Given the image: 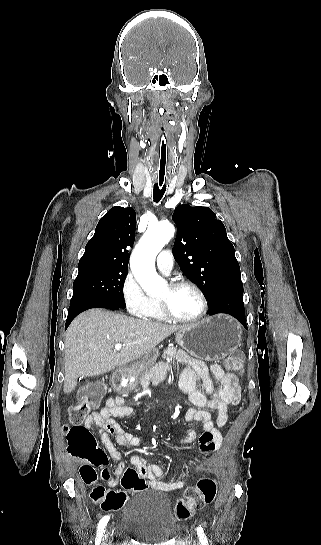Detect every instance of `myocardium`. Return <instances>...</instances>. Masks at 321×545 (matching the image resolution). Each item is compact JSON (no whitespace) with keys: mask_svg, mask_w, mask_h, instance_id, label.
Here are the masks:
<instances>
[{"mask_svg":"<svg viewBox=\"0 0 321 545\" xmlns=\"http://www.w3.org/2000/svg\"><path fill=\"white\" fill-rule=\"evenodd\" d=\"M168 286L173 291H177L183 288H190L194 290L200 298L201 309L199 313L193 318H182L176 315L175 313H173L171 310H169L165 305L159 303L158 307L167 320L175 322V323H180V324H195L203 320V318L206 316L208 312L209 303H208L206 294L197 284L191 281L181 280V281L170 283L168 284Z\"/></svg>","mask_w":321,"mask_h":545,"instance_id":"myocardium-1","label":"myocardium"}]
</instances>
